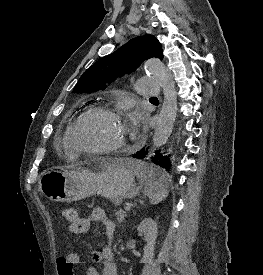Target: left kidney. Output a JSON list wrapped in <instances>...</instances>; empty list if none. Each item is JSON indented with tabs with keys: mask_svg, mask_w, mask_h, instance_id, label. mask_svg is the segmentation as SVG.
Returning <instances> with one entry per match:
<instances>
[{
	"mask_svg": "<svg viewBox=\"0 0 263 275\" xmlns=\"http://www.w3.org/2000/svg\"><path fill=\"white\" fill-rule=\"evenodd\" d=\"M138 232L144 234L146 245L143 248L144 255L142 263H149L153 260L155 243L158 235L157 223L151 218H145L137 227Z\"/></svg>",
	"mask_w": 263,
	"mask_h": 275,
	"instance_id": "1",
	"label": "left kidney"
}]
</instances>
